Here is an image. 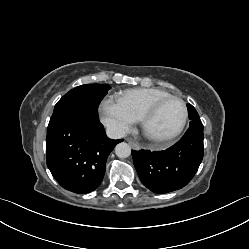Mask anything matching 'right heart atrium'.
Segmentation results:
<instances>
[{"label":"right heart atrium","mask_w":249,"mask_h":249,"mask_svg":"<svg viewBox=\"0 0 249 249\" xmlns=\"http://www.w3.org/2000/svg\"><path fill=\"white\" fill-rule=\"evenodd\" d=\"M100 116L103 124L116 136L131 131L138 118L118 99L107 97L102 100Z\"/></svg>","instance_id":"1"}]
</instances>
